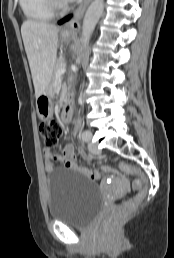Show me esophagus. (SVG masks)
<instances>
[{
  "label": "esophagus",
  "mask_w": 174,
  "mask_h": 258,
  "mask_svg": "<svg viewBox=\"0 0 174 258\" xmlns=\"http://www.w3.org/2000/svg\"><path fill=\"white\" fill-rule=\"evenodd\" d=\"M91 0H82L79 4V6L76 8V10L73 13V18L68 21L63 29L62 32L64 33H75L80 30V19L82 18L87 6Z\"/></svg>",
  "instance_id": "1"
}]
</instances>
